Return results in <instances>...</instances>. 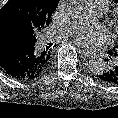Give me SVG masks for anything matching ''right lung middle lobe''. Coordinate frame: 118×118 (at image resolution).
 <instances>
[{"instance_id": "1", "label": "right lung middle lobe", "mask_w": 118, "mask_h": 118, "mask_svg": "<svg viewBox=\"0 0 118 118\" xmlns=\"http://www.w3.org/2000/svg\"><path fill=\"white\" fill-rule=\"evenodd\" d=\"M57 5H47L42 0H9L0 9V25H10L29 35L49 25Z\"/></svg>"}]
</instances>
